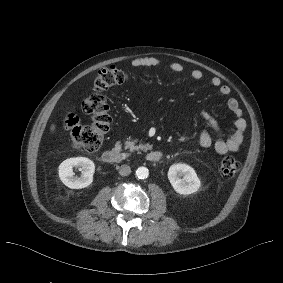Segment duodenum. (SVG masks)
I'll use <instances>...</instances> for the list:
<instances>
[{
	"mask_svg": "<svg viewBox=\"0 0 283 283\" xmlns=\"http://www.w3.org/2000/svg\"><path fill=\"white\" fill-rule=\"evenodd\" d=\"M102 159L105 163L116 164L123 161V155L119 150L111 149L103 153ZM146 159L149 162H159L162 159V153L160 151H150L146 155Z\"/></svg>",
	"mask_w": 283,
	"mask_h": 283,
	"instance_id": "410a0bca",
	"label": "duodenum"
}]
</instances>
